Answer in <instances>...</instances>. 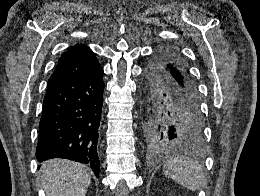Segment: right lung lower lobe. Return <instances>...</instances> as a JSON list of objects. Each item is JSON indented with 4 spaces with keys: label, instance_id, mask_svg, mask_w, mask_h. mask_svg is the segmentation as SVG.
I'll use <instances>...</instances> for the list:
<instances>
[{
    "label": "right lung lower lobe",
    "instance_id": "98d812e1",
    "mask_svg": "<svg viewBox=\"0 0 260 196\" xmlns=\"http://www.w3.org/2000/svg\"><path fill=\"white\" fill-rule=\"evenodd\" d=\"M103 70L47 89L39 123L36 158H65L89 164L99 176L97 153L103 104Z\"/></svg>",
    "mask_w": 260,
    "mask_h": 196
}]
</instances>
